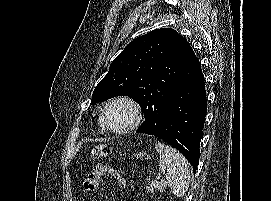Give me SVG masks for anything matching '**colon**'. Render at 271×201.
Listing matches in <instances>:
<instances>
[{"instance_id":"obj_1","label":"colon","mask_w":271,"mask_h":201,"mask_svg":"<svg viewBox=\"0 0 271 201\" xmlns=\"http://www.w3.org/2000/svg\"><path fill=\"white\" fill-rule=\"evenodd\" d=\"M110 153V147L107 144H99L96 145L91 152L89 153V155L87 156L88 160H98L101 158H104L106 156H108V154Z\"/></svg>"}]
</instances>
